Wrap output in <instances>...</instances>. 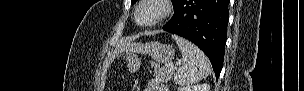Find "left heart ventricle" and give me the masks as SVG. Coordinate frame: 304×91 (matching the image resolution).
I'll list each match as a JSON object with an SVG mask.
<instances>
[{
  "label": "left heart ventricle",
  "mask_w": 304,
  "mask_h": 91,
  "mask_svg": "<svg viewBox=\"0 0 304 91\" xmlns=\"http://www.w3.org/2000/svg\"><path fill=\"white\" fill-rule=\"evenodd\" d=\"M160 13V7L157 4H144L139 12L138 19L141 23H146L154 20Z\"/></svg>",
  "instance_id": "b2bd125f"
}]
</instances>
